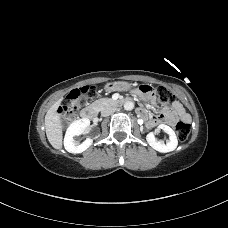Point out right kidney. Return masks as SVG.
Listing matches in <instances>:
<instances>
[{"mask_svg": "<svg viewBox=\"0 0 228 228\" xmlns=\"http://www.w3.org/2000/svg\"><path fill=\"white\" fill-rule=\"evenodd\" d=\"M89 125L90 120L88 118H82L70 124L64 138V147L68 152L82 153L92 145L93 140L91 138H87L81 144L74 139L75 136L81 135Z\"/></svg>", "mask_w": 228, "mask_h": 228, "instance_id": "1", "label": "right kidney"}]
</instances>
